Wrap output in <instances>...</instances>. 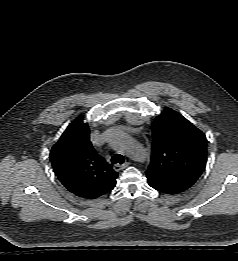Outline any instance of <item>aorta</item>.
Listing matches in <instances>:
<instances>
[{
    "label": "aorta",
    "mask_w": 238,
    "mask_h": 261,
    "mask_svg": "<svg viewBox=\"0 0 238 261\" xmlns=\"http://www.w3.org/2000/svg\"><path fill=\"white\" fill-rule=\"evenodd\" d=\"M111 141L113 143H120L122 151L134 160H141L146 158L144 149L136 143L131 137L119 129L111 131Z\"/></svg>",
    "instance_id": "obj_1"
}]
</instances>
